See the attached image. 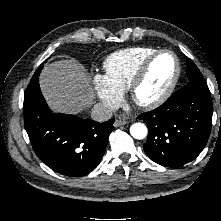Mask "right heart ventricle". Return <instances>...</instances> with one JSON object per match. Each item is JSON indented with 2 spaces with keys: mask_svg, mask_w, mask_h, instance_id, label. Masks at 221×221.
I'll return each instance as SVG.
<instances>
[{
  "mask_svg": "<svg viewBox=\"0 0 221 221\" xmlns=\"http://www.w3.org/2000/svg\"><path fill=\"white\" fill-rule=\"evenodd\" d=\"M157 49L130 47L111 53L103 62L106 77L121 92L127 90L143 61Z\"/></svg>",
  "mask_w": 221,
  "mask_h": 221,
  "instance_id": "e07e8e85",
  "label": "right heart ventricle"
}]
</instances>
